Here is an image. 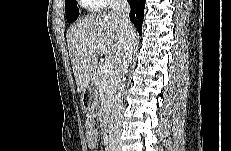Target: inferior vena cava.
I'll list each match as a JSON object with an SVG mask.
<instances>
[{
  "label": "inferior vena cava",
  "mask_w": 231,
  "mask_h": 151,
  "mask_svg": "<svg viewBox=\"0 0 231 151\" xmlns=\"http://www.w3.org/2000/svg\"><path fill=\"white\" fill-rule=\"evenodd\" d=\"M113 14L117 16L121 31L126 37V42L119 56V62L116 69V76L114 78V105L110 117L109 126V146L113 148L119 143L121 135V111H122V93L125 88L124 76L127 73L129 61L132 57L133 49L135 46L134 31L132 24L129 20L130 6L127 0H114Z\"/></svg>",
  "instance_id": "inferior-vena-cava-1"
}]
</instances>
